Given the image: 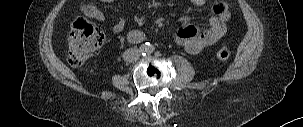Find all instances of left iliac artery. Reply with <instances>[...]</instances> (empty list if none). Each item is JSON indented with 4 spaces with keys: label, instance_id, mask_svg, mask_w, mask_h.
I'll return each mask as SVG.
<instances>
[{
    "label": "left iliac artery",
    "instance_id": "obj_1",
    "mask_svg": "<svg viewBox=\"0 0 303 127\" xmlns=\"http://www.w3.org/2000/svg\"><path fill=\"white\" fill-rule=\"evenodd\" d=\"M144 49H145V53L144 54H151L154 50H155V47L153 45H151L150 43H145L144 45Z\"/></svg>",
    "mask_w": 303,
    "mask_h": 127
}]
</instances>
